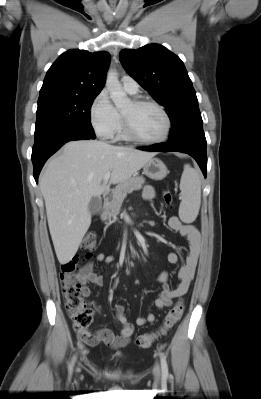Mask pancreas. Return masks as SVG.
Here are the masks:
<instances>
[{
	"label": "pancreas",
	"mask_w": 261,
	"mask_h": 399,
	"mask_svg": "<svg viewBox=\"0 0 261 399\" xmlns=\"http://www.w3.org/2000/svg\"><path fill=\"white\" fill-rule=\"evenodd\" d=\"M144 183L145 179L142 176H135L119 184L113 190V199L103 211L101 219L103 221L109 220L110 222L111 218H114L115 220L116 216L120 213L122 203L127 197V194L133 192L134 190H140Z\"/></svg>",
	"instance_id": "cf45deb5"
}]
</instances>
